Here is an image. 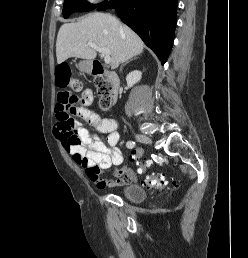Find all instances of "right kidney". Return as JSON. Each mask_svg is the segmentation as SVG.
<instances>
[{"instance_id": "obj_1", "label": "right kidney", "mask_w": 248, "mask_h": 258, "mask_svg": "<svg viewBox=\"0 0 248 258\" xmlns=\"http://www.w3.org/2000/svg\"><path fill=\"white\" fill-rule=\"evenodd\" d=\"M141 75L142 73L137 70L130 72L126 77L128 87H132L134 84L139 82L141 79Z\"/></svg>"}]
</instances>
